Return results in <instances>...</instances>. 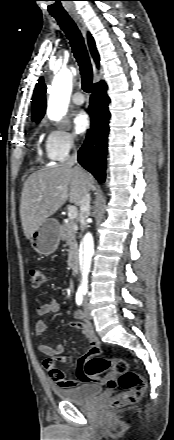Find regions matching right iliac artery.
<instances>
[{
  "label": "right iliac artery",
  "mask_w": 174,
  "mask_h": 440,
  "mask_svg": "<svg viewBox=\"0 0 174 440\" xmlns=\"http://www.w3.org/2000/svg\"><path fill=\"white\" fill-rule=\"evenodd\" d=\"M83 296H84V294L82 292H77L76 293V303H77V305L80 306L82 304Z\"/></svg>",
  "instance_id": "1"
}]
</instances>
